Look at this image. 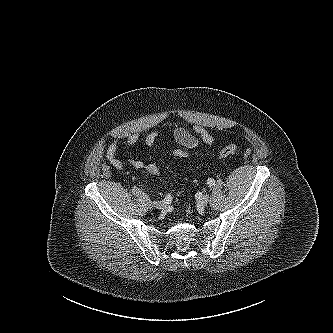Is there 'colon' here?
<instances>
[{"label": "colon", "instance_id": "colon-1", "mask_svg": "<svg viewBox=\"0 0 333 333\" xmlns=\"http://www.w3.org/2000/svg\"><path fill=\"white\" fill-rule=\"evenodd\" d=\"M237 151H238L237 145L229 144L219 151L218 157L225 158V157L234 155ZM173 154L175 157H179V158H185V157H189L191 155L189 151L183 150V149H177L173 152ZM145 170L150 175H159L160 174V169L155 164L146 165Z\"/></svg>", "mask_w": 333, "mask_h": 333}]
</instances>
